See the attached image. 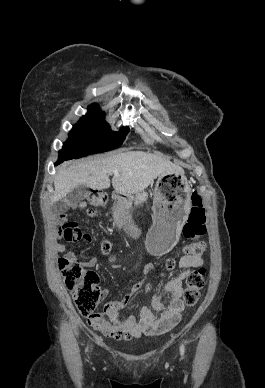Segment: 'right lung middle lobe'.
I'll return each mask as SVG.
<instances>
[{
	"mask_svg": "<svg viewBox=\"0 0 265 388\" xmlns=\"http://www.w3.org/2000/svg\"><path fill=\"white\" fill-rule=\"evenodd\" d=\"M88 111L70 131L68 140L59 151V160L77 159L113 150L124 141L129 128L112 131L98 105H91Z\"/></svg>",
	"mask_w": 265,
	"mask_h": 388,
	"instance_id": "obj_1",
	"label": "right lung middle lobe"
}]
</instances>
